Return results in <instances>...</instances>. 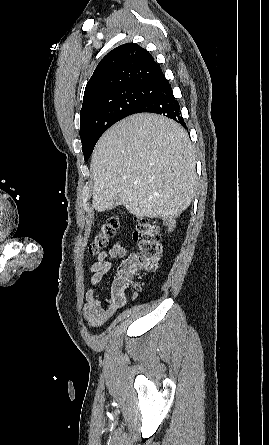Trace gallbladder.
Here are the masks:
<instances>
[{
  "instance_id": "obj_1",
  "label": "gallbladder",
  "mask_w": 269,
  "mask_h": 445,
  "mask_svg": "<svg viewBox=\"0 0 269 445\" xmlns=\"http://www.w3.org/2000/svg\"><path fill=\"white\" fill-rule=\"evenodd\" d=\"M117 203H118V201H117V200H114V201H113V206H112V208H114V207L117 205ZM112 208H111V209H112Z\"/></svg>"
}]
</instances>
